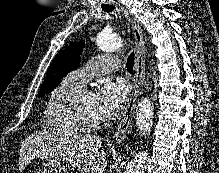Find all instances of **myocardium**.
Masks as SVG:
<instances>
[{
	"instance_id": "f54148a6",
	"label": "myocardium",
	"mask_w": 219,
	"mask_h": 173,
	"mask_svg": "<svg viewBox=\"0 0 219 173\" xmlns=\"http://www.w3.org/2000/svg\"><path fill=\"white\" fill-rule=\"evenodd\" d=\"M89 93L88 90H81L71 101L69 109L74 122L83 130H95L103 125L102 121H93L86 117L82 109V101L85 95Z\"/></svg>"
}]
</instances>
